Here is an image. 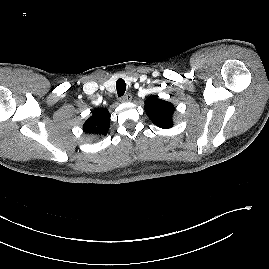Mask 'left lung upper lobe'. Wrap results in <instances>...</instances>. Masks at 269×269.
<instances>
[{
    "mask_svg": "<svg viewBox=\"0 0 269 269\" xmlns=\"http://www.w3.org/2000/svg\"><path fill=\"white\" fill-rule=\"evenodd\" d=\"M172 103L150 96L145 100V112L150 120L160 128L173 126L172 116L174 113Z\"/></svg>",
    "mask_w": 269,
    "mask_h": 269,
    "instance_id": "left-lung-upper-lobe-1",
    "label": "left lung upper lobe"
}]
</instances>
